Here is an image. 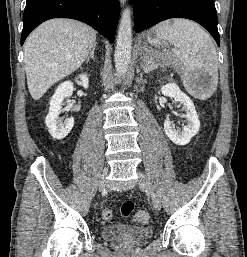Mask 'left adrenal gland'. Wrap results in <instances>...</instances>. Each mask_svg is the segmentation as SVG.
<instances>
[{
    "mask_svg": "<svg viewBox=\"0 0 247 257\" xmlns=\"http://www.w3.org/2000/svg\"><path fill=\"white\" fill-rule=\"evenodd\" d=\"M142 67L146 73H149L150 71H153L158 67H163V65L160 62H152L149 66L145 67L142 65Z\"/></svg>",
    "mask_w": 247,
    "mask_h": 257,
    "instance_id": "a2214340",
    "label": "left adrenal gland"
}]
</instances>
